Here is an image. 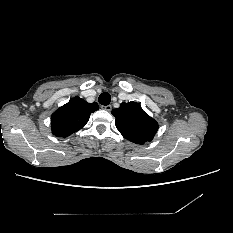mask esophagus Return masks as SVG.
I'll use <instances>...</instances> for the list:
<instances>
[{"label":"esophagus","instance_id":"obj_1","mask_svg":"<svg viewBox=\"0 0 233 233\" xmlns=\"http://www.w3.org/2000/svg\"><path fill=\"white\" fill-rule=\"evenodd\" d=\"M101 109L110 112L112 110V106L111 105L101 106Z\"/></svg>","mask_w":233,"mask_h":233}]
</instances>
